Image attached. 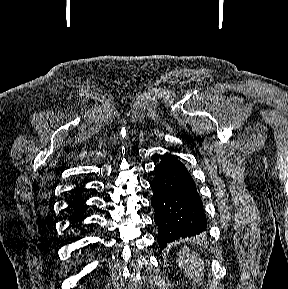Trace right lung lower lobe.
Segmentation results:
<instances>
[{
	"instance_id": "right-lung-lower-lobe-1",
	"label": "right lung lower lobe",
	"mask_w": 288,
	"mask_h": 289,
	"mask_svg": "<svg viewBox=\"0 0 288 289\" xmlns=\"http://www.w3.org/2000/svg\"><path fill=\"white\" fill-rule=\"evenodd\" d=\"M83 190V188H76L74 189V193L76 194L73 196L71 211H73V215L71 219L74 222L80 221L82 219L83 209L85 207L84 203L85 200L79 195V193Z\"/></svg>"
}]
</instances>
